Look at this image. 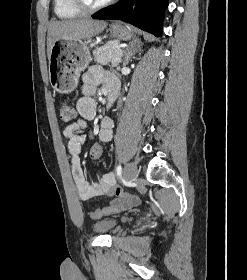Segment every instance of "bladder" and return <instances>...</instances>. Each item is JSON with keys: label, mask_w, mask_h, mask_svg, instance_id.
Segmentation results:
<instances>
[{"label": "bladder", "mask_w": 247, "mask_h": 280, "mask_svg": "<svg viewBox=\"0 0 247 280\" xmlns=\"http://www.w3.org/2000/svg\"><path fill=\"white\" fill-rule=\"evenodd\" d=\"M119 225V222L115 219H104L93 225V230L100 234L113 233Z\"/></svg>", "instance_id": "obj_1"}]
</instances>
